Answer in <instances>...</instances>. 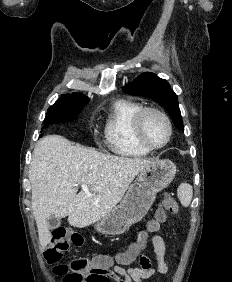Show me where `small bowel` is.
<instances>
[{
	"label": "small bowel",
	"mask_w": 232,
	"mask_h": 282,
	"mask_svg": "<svg viewBox=\"0 0 232 282\" xmlns=\"http://www.w3.org/2000/svg\"><path fill=\"white\" fill-rule=\"evenodd\" d=\"M152 244L156 259V268L146 256H142L138 267L125 268L120 264L110 266V272L90 282H143L152 278L156 273L167 274L168 266L165 262L166 246L160 235H154Z\"/></svg>",
	"instance_id": "small-bowel-1"
}]
</instances>
